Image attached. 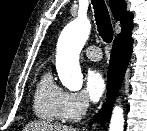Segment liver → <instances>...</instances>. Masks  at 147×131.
<instances>
[{
    "label": "liver",
    "instance_id": "6515ba94",
    "mask_svg": "<svg viewBox=\"0 0 147 131\" xmlns=\"http://www.w3.org/2000/svg\"><path fill=\"white\" fill-rule=\"evenodd\" d=\"M23 131H77L76 128L61 124H52L47 122H31L27 124Z\"/></svg>",
    "mask_w": 147,
    "mask_h": 131
}]
</instances>
